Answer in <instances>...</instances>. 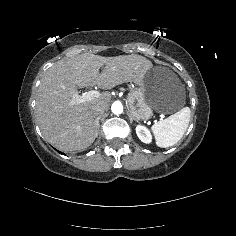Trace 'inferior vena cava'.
Listing matches in <instances>:
<instances>
[{
    "instance_id": "1",
    "label": "inferior vena cava",
    "mask_w": 236,
    "mask_h": 236,
    "mask_svg": "<svg viewBox=\"0 0 236 236\" xmlns=\"http://www.w3.org/2000/svg\"><path fill=\"white\" fill-rule=\"evenodd\" d=\"M105 112V107L101 105H94L93 106V114L96 122H98L99 118Z\"/></svg>"
}]
</instances>
